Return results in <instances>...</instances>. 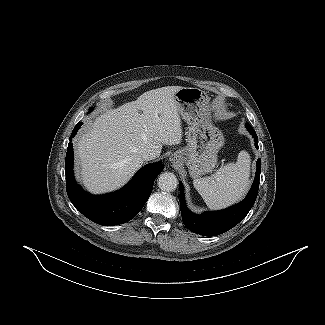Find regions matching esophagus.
<instances>
[{"label":"esophagus","mask_w":325,"mask_h":325,"mask_svg":"<svg viewBox=\"0 0 325 325\" xmlns=\"http://www.w3.org/2000/svg\"><path fill=\"white\" fill-rule=\"evenodd\" d=\"M169 160H170L171 163H173V164H177V163L179 162V159H178V157H177L176 154H172V155L170 156Z\"/></svg>","instance_id":"34e87169"}]
</instances>
